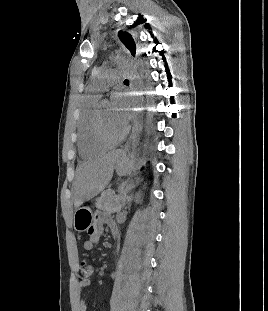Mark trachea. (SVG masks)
<instances>
[{"label":"trachea","mask_w":268,"mask_h":311,"mask_svg":"<svg viewBox=\"0 0 268 311\" xmlns=\"http://www.w3.org/2000/svg\"><path fill=\"white\" fill-rule=\"evenodd\" d=\"M124 82H128V80L126 79V80H124Z\"/></svg>","instance_id":"3493384b"}]
</instances>
